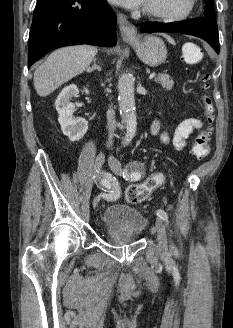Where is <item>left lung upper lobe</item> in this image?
<instances>
[{
  "mask_svg": "<svg viewBox=\"0 0 233 328\" xmlns=\"http://www.w3.org/2000/svg\"><path fill=\"white\" fill-rule=\"evenodd\" d=\"M206 5L204 7V18L211 20V21H216L215 19V11L213 7V1L212 0H205Z\"/></svg>",
  "mask_w": 233,
  "mask_h": 328,
  "instance_id": "1",
  "label": "left lung upper lobe"
}]
</instances>
